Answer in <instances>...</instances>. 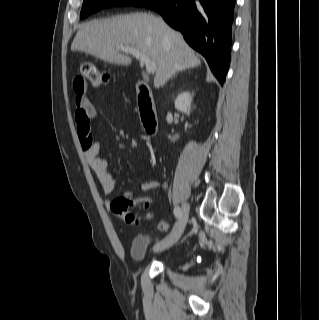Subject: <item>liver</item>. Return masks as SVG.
I'll list each match as a JSON object with an SVG mask.
<instances>
[{
  "label": "liver",
  "mask_w": 319,
  "mask_h": 320,
  "mask_svg": "<svg viewBox=\"0 0 319 320\" xmlns=\"http://www.w3.org/2000/svg\"><path fill=\"white\" fill-rule=\"evenodd\" d=\"M116 46L135 48L156 63L155 88L163 87L176 72L201 65L183 36L150 13L119 15L84 23L71 50L85 52L105 62L130 65L131 57L121 54Z\"/></svg>",
  "instance_id": "1"
}]
</instances>
